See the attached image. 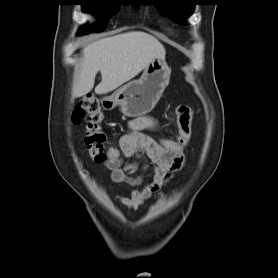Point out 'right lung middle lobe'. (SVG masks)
<instances>
[{"mask_svg": "<svg viewBox=\"0 0 278 278\" xmlns=\"http://www.w3.org/2000/svg\"><path fill=\"white\" fill-rule=\"evenodd\" d=\"M84 11H88L99 17L103 23L115 15L121 6L119 0H82ZM92 30L98 31L97 28H84L79 34L90 33Z\"/></svg>", "mask_w": 278, "mask_h": 278, "instance_id": "right-lung-middle-lobe-1", "label": "right lung middle lobe"}]
</instances>
